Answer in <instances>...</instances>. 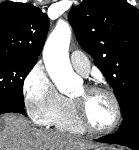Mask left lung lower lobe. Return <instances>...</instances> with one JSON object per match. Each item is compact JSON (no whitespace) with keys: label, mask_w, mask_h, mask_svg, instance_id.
<instances>
[{"label":"left lung lower lobe","mask_w":139,"mask_h":150,"mask_svg":"<svg viewBox=\"0 0 139 150\" xmlns=\"http://www.w3.org/2000/svg\"><path fill=\"white\" fill-rule=\"evenodd\" d=\"M123 121L119 130L111 135L96 139L97 142L119 144L133 150H139V98H135L123 112Z\"/></svg>","instance_id":"obj_1"}]
</instances>
